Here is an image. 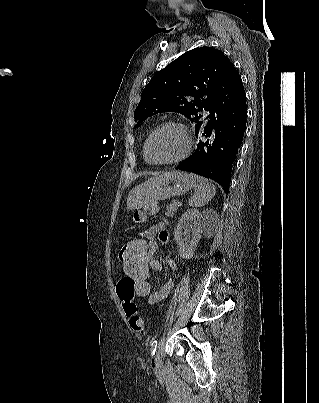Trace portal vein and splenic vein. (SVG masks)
Returning <instances> with one entry per match:
<instances>
[{
    "label": "portal vein and splenic vein",
    "instance_id": "18ae733b",
    "mask_svg": "<svg viewBox=\"0 0 319 403\" xmlns=\"http://www.w3.org/2000/svg\"><path fill=\"white\" fill-rule=\"evenodd\" d=\"M176 205L181 206V202L180 201H175Z\"/></svg>",
    "mask_w": 319,
    "mask_h": 403
}]
</instances>
